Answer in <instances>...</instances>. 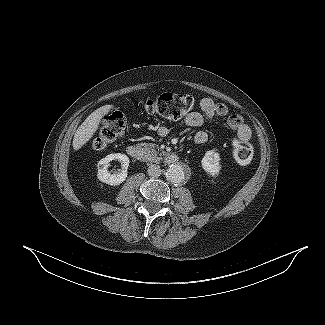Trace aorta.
I'll return each instance as SVG.
<instances>
[{
    "label": "aorta",
    "instance_id": "obj_1",
    "mask_svg": "<svg viewBox=\"0 0 325 325\" xmlns=\"http://www.w3.org/2000/svg\"><path fill=\"white\" fill-rule=\"evenodd\" d=\"M166 178L175 184L183 182L186 178L184 167L179 164H172L166 172Z\"/></svg>",
    "mask_w": 325,
    "mask_h": 325
}]
</instances>
